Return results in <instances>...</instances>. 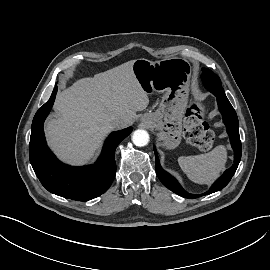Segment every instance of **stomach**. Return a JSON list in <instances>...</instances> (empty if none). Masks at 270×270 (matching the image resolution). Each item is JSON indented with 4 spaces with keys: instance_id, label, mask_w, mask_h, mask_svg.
<instances>
[{
    "instance_id": "stomach-1",
    "label": "stomach",
    "mask_w": 270,
    "mask_h": 270,
    "mask_svg": "<svg viewBox=\"0 0 270 270\" xmlns=\"http://www.w3.org/2000/svg\"><path fill=\"white\" fill-rule=\"evenodd\" d=\"M132 69L143 90L163 94L157 110L144 114L142 122L158 131L162 146L176 148L181 142L182 121L189 98L190 62L179 57L157 62L140 58L134 61Z\"/></svg>"
}]
</instances>
